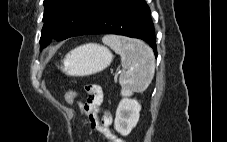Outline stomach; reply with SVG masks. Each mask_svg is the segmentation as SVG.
Instances as JSON below:
<instances>
[{"label": "stomach", "mask_w": 227, "mask_h": 142, "mask_svg": "<svg viewBox=\"0 0 227 142\" xmlns=\"http://www.w3.org/2000/svg\"><path fill=\"white\" fill-rule=\"evenodd\" d=\"M112 59L113 55L109 49L89 43L68 52L58 68L69 76H89L103 71Z\"/></svg>", "instance_id": "0dacf381"}]
</instances>
